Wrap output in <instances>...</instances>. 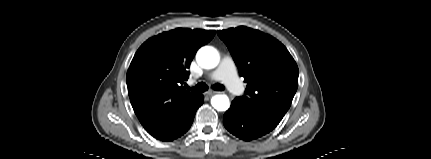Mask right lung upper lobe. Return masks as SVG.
Masks as SVG:
<instances>
[{
	"mask_svg": "<svg viewBox=\"0 0 431 159\" xmlns=\"http://www.w3.org/2000/svg\"><path fill=\"white\" fill-rule=\"evenodd\" d=\"M214 30L177 28L148 39L137 50L126 82L132 107L149 134L161 130L196 94L185 90L187 69Z\"/></svg>",
	"mask_w": 431,
	"mask_h": 159,
	"instance_id": "obj_1",
	"label": "right lung upper lobe"
}]
</instances>
